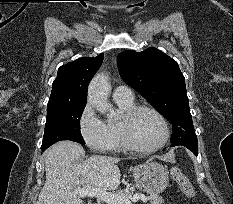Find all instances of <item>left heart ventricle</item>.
Wrapping results in <instances>:
<instances>
[{"instance_id":"b2bd125f","label":"left heart ventricle","mask_w":233,"mask_h":204,"mask_svg":"<svg viewBox=\"0 0 233 204\" xmlns=\"http://www.w3.org/2000/svg\"><path fill=\"white\" fill-rule=\"evenodd\" d=\"M131 131L134 141L145 148L156 146L164 135L161 122L148 111H142L134 118Z\"/></svg>"}]
</instances>
